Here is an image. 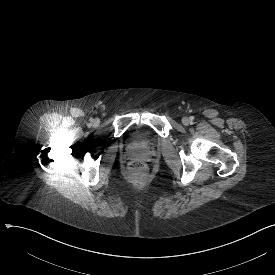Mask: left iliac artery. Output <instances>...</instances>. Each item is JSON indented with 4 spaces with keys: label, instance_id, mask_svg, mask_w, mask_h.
Instances as JSON below:
<instances>
[{
    "label": "left iliac artery",
    "instance_id": "1",
    "mask_svg": "<svg viewBox=\"0 0 275 275\" xmlns=\"http://www.w3.org/2000/svg\"><path fill=\"white\" fill-rule=\"evenodd\" d=\"M191 121L193 120V117H190Z\"/></svg>",
    "mask_w": 275,
    "mask_h": 275
}]
</instances>
